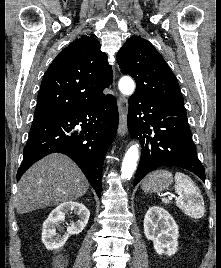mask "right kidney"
<instances>
[{
  "instance_id": "1",
  "label": "right kidney",
  "mask_w": 221,
  "mask_h": 268,
  "mask_svg": "<svg viewBox=\"0 0 221 268\" xmlns=\"http://www.w3.org/2000/svg\"><path fill=\"white\" fill-rule=\"evenodd\" d=\"M74 211L79 217L75 223H71L67 227V232L60 236L57 229L63 231L61 224L65 221V215ZM90 217V212L85 205L78 202H64L56 207L43 223L42 242L48 250L60 249L67 241L70 235L79 234L85 228Z\"/></svg>"
}]
</instances>
